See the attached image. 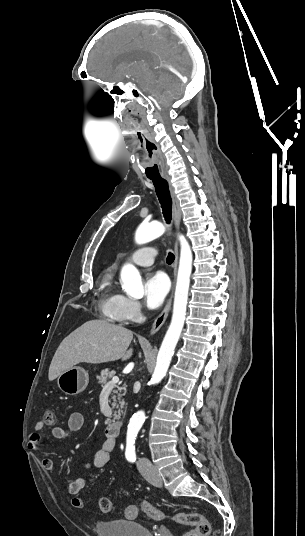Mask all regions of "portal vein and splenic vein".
<instances>
[{
    "label": "portal vein and splenic vein",
    "mask_w": 305,
    "mask_h": 536,
    "mask_svg": "<svg viewBox=\"0 0 305 536\" xmlns=\"http://www.w3.org/2000/svg\"><path fill=\"white\" fill-rule=\"evenodd\" d=\"M117 382H119L118 376H113L111 382H108V384H106V386H104V390H106V388H113V386H115V384H117Z\"/></svg>",
    "instance_id": "portal-vein-and-splenic-vein-1"
}]
</instances>
